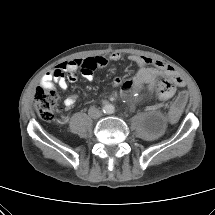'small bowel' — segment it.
<instances>
[{
    "mask_svg": "<svg viewBox=\"0 0 215 215\" xmlns=\"http://www.w3.org/2000/svg\"><path fill=\"white\" fill-rule=\"evenodd\" d=\"M120 59V53H113L108 58L95 56L85 59L69 60L46 73L41 80V85L43 87L54 88V83H56L61 89L66 90L68 88V82L73 83L77 80V70H81L86 80L92 81L94 78L93 73L96 69L106 66L109 61H119ZM129 60L139 66V70L131 81L121 84L120 79L116 78L114 80V83L116 85H122L124 90L139 89L144 85L154 86L157 79L162 78V81L157 84V96L160 100H167L173 95L176 87H182L184 85V81L174 73V70L162 61L138 55L129 56ZM150 64H153L155 68H148L147 65ZM167 80L174 82V88L169 93L160 92L158 89H161L163 82ZM75 102L76 95H71L64 100V105L67 109H70L74 106Z\"/></svg>",
    "mask_w": 215,
    "mask_h": 215,
    "instance_id": "1",
    "label": "small bowel"
}]
</instances>
